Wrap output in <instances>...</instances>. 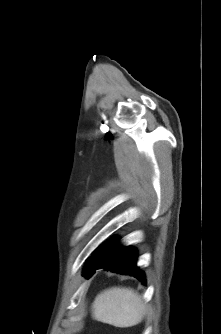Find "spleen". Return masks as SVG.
I'll use <instances>...</instances> for the list:
<instances>
[{
	"instance_id": "spleen-1",
	"label": "spleen",
	"mask_w": 221,
	"mask_h": 334,
	"mask_svg": "<svg viewBox=\"0 0 221 334\" xmlns=\"http://www.w3.org/2000/svg\"><path fill=\"white\" fill-rule=\"evenodd\" d=\"M145 311L141 296L134 290L112 287L96 296L92 306V317L102 323L126 328L140 323Z\"/></svg>"
}]
</instances>
